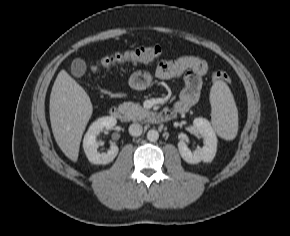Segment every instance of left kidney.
<instances>
[{
	"label": "left kidney",
	"instance_id": "5707ae66",
	"mask_svg": "<svg viewBox=\"0 0 290 236\" xmlns=\"http://www.w3.org/2000/svg\"><path fill=\"white\" fill-rule=\"evenodd\" d=\"M196 130L204 137V146L201 149L191 151L184 140L178 142L181 157L187 163L196 164L201 161L211 162L217 151V137L210 124L205 118H195L193 121Z\"/></svg>",
	"mask_w": 290,
	"mask_h": 236
}]
</instances>
